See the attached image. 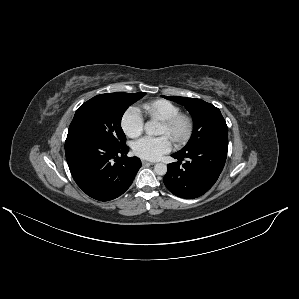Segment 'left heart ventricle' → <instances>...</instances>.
<instances>
[{"mask_svg":"<svg viewBox=\"0 0 299 299\" xmlns=\"http://www.w3.org/2000/svg\"><path fill=\"white\" fill-rule=\"evenodd\" d=\"M161 134H166V135H168V130H167V128L164 126V125H162V128H161V132H160Z\"/></svg>","mask_w":299,"mask_h":299,"instance_id":"1","label":"left heart ventricle"}]
</instances>
